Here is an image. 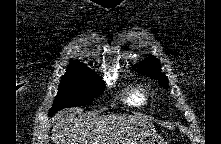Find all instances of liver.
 Masks as SVG:
<instances>
[{"mask_svg": "<svg viewBox=\"0 0 221 144\" xmlns=\"http://www.w3.org/2000/svg\"><path fill=\"white\" fill-rule=\"evenodd\" d=\"M52 144H135L154 133V125L136 115L77 116L75 109L59 111L53 117Z\"/></svg>", "mask_w": 221, "mask_h": 144, "instance_id": "liver-1", "label": "liver"}]
</instances>
